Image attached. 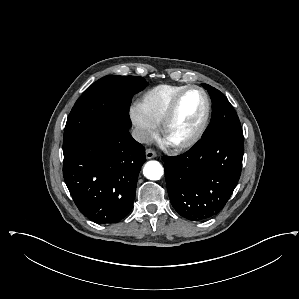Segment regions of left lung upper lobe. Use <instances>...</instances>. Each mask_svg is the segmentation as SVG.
<instances>
[{"label": "left lung upper lobe", "mask_w": 299, "mask_h": 299, "mask_svg": "<svg viewBox=\"0 0 299 299\" xmlns=\"http://www.w3.org/2000/svg\"><path fill=\"white\" fill-rule=\"evenodd\" d=\"M202 86L209 92L212 100L211 122L202 138L219 133L243 135L239 118L224 94L210 85Z\"/></svg>", "instance_id": "left-lung-upper-lobe-1"}]
</instances>
